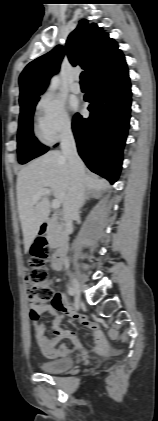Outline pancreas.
Listing matches in <instances>:
<instances>
[{"instance_id":"1","label":"pancreas","mask_w":158,"mask_h":421,"mask_svg":"<svg viewBox=\"0 0 158 421\" xmlns=\"http://www.w3.org/2000/svg\"><path fill=\"white\" fill-rule=\"evenodd\" d=\"M64 236L63 227L57 220H51L47 230L50 248H57Z\"/></svg>"}]
</instances>
